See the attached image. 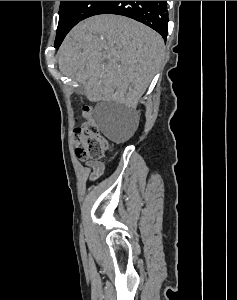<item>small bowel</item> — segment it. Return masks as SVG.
Listing matches in <instances>:
<instances>
[{"label": "small bowel", "instance_id": "obj_1", "mask_svg": "<svg viewBox=\"0 0 237 300\" xmlns=\"http://www.w3.org/2000/svg\"><path fill=\"white\" fill-rule=\"evenodd\" d=\"M87 165L91 169V172L89 174V180H96L103 174L104 166L101 162L90 161L87 163Z\"/></svg>", "mask_w": 237, "mask_h": 300}]
</instances>
